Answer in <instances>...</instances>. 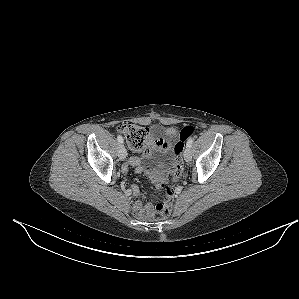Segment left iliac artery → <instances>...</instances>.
I'll return each instance as SVG.
<instances>
[{"label": "left iliac artery", "mask_w": 299, "mask_h": 299, "mask_svg": "<svg viewBox=\"0 0 299 299\" xmlns=\"http://www.w3.org/2000/svg\"><path fill=\"white\" fill-rule=\"evenodd\" d=\"M192 143H193V138H190L188 141H187V147H191L192 146Z\"/></svg>", "instance_id": "obj_1"}]
</instances>
